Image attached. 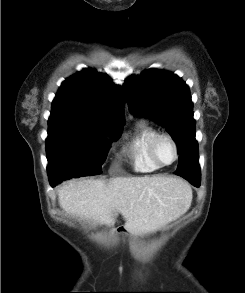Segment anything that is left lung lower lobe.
<instances>
[{"mask_svg": "<svg viewBox=\"0 0 245 293\" xmlns=\"http://www.w3.org/2000/svg\"><path fill=\"white\" fill-rule=\"evenodd\" d=\"M174 174L181 176L188 180L192 185L199 187L200 186V181H201V175H196L192 173H187L183 171H176Z\"/></svg>", "mask_w": 245, "mask_h": 293, "instance_id": "left-lung-lower-lobe-1", "label": "left lung lower lobe"}]
</instances>
